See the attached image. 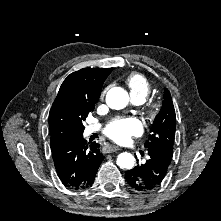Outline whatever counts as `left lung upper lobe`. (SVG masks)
Listing matches in <instances>:
<instances>
[{
    "label": "left lung upper lobe",
    "mask_w": 221,
    "mask_h": 221,
    "mask_svg": "<svg viewBox=\"0 0 221 221\" xmlns=\"http://www.w3.org/2000/svg\"><path fill=\"white\" fill-rule=\"evenodd\" d=\"M176 130V115L170 92L165 90L162 108L156 116L144 147L147 150L160 148L173 155Z\"/></svg>",
    "instance_id": "obj_1"
}]
</instances>
